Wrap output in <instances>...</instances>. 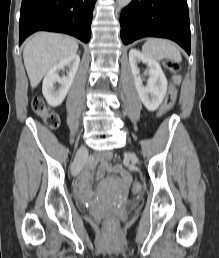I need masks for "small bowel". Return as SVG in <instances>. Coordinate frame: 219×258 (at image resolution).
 <instances>
[{"label":"small bowel","instance_id":"small-bowel-1","mask_svg":"<svg viewBox=\"0 0 219 258\" xmlns=\"http://www.w3.org/2000/svg\"><path fill=\"white\" fill-rule=\"evenodd\" d=\"M172 85H181L180 77L175 76L174 80H172ZM110 158V154H105L103 156H96L93 158V163L99 166L98 176L103 178L106 171L109 167L113 166L112 162H107V159ZM114 172H118V175L121 178V184H129L131 179V174L128 171H124V167H114ZM92 181V172L87 171L80 177L77 183L78 193L82 198H88L89 194V186Z\"/></svg>","mask_w":219,"mask_h":258}]
</instances>
